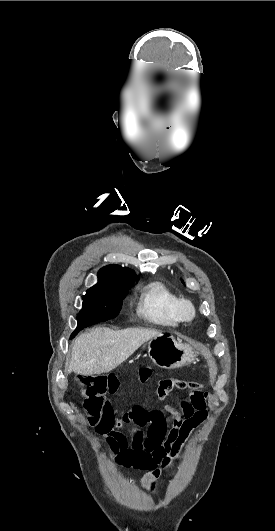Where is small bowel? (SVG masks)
<instances>
[{"instance_id":"small-bowel-1","label":"small bowel","mask_w":275,"mask_h":531,"mask_svg":"<svg viewBox=\"0 0 275 531\" xmlns=\"http://www.w3.org/2000/svg\"><path fill=\"white\" fill-rule=\"evenodd\" d=\"M137 374L140 382L146 384L152 371L148 367H141ZM122 381L120 375L107 377L110 390L106 391V398L103 400L105 417H115L119 413L113 399L115 392L120 390ZM194 391L200 396L201 386L197 385ZM209 399L210 396L204 394V399L182 400L178 408L166 407L164 410H147L136 406L113 418L110 424L100 427L99 433L108 446L121 451L122 464L145 471L139 482L143 486L147 481L159 478L162 468L169 465L171 458L180 457L188 435L206 422V403ZM154 438L160 439L159 445L152 443Z\"/></svg>"}]
</instances>
